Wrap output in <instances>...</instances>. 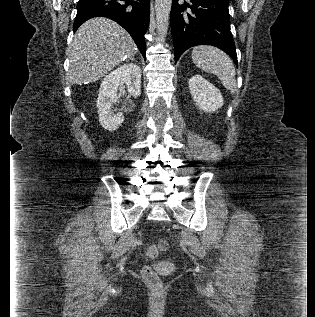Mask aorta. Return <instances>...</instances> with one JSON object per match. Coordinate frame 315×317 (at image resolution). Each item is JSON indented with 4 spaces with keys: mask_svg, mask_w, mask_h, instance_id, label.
Wrapping results in <instances>:
<instances>
[{
    "mask_svg": "<svg viewBox=\"0 0 315 317\" xmlns=\"http://www.w3.org/2000/svg\"><path fill=\"white\" fill-rule=\"evenodd\" d=\"M172 0H155L156 25L158 34L163 38L168 31Z\"/></svg>",
    "mask_w": 315,
    "mask_h": 317,
    "instance_id": "1",
    "label": "aorta"
}]
</instances>
